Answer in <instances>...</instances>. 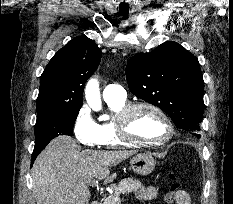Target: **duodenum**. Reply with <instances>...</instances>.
<instances>
[{"label":"duodenum","mask_w":233,"mask_h":204,"mask_svg":"<svg viewBox=\"0 0 233 204\" xmlns=\"http://www.w3.org/2000/svg\"><path fill=\"white\" fill-rule=\"evenodd\" d=\"M91 204H99V202L95 201V202H92Z\"/></svg>","instance_id":"1"}]
</instances>
